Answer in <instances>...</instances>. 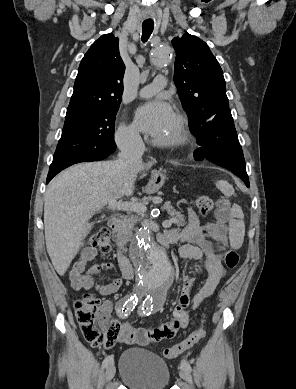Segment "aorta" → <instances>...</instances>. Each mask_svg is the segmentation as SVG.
I'll use <instances>...</instances> for the list:
<instances>
[{
    "instance_id": "aorta-1",
    "label": "aorta",
    "mask_w": 296,
    "mask_h": 389,
    "mask_svg": "<svg viewBox=\"0 0 296 389\" xmlns=\"http://www.w3.org/2000/svg\"><path fill=\"white\" fill-rule=\"evenodd\" d=\"M152 63L163 67L173 62L174 52L165 44L151 49ZM130 256L137 267L139 286L147 290L149 299L158 291L166 290L172 283L174 270L166 251L153 239L147 227L140 229L130 245Z\"/></svg>"
}]
</instances>
